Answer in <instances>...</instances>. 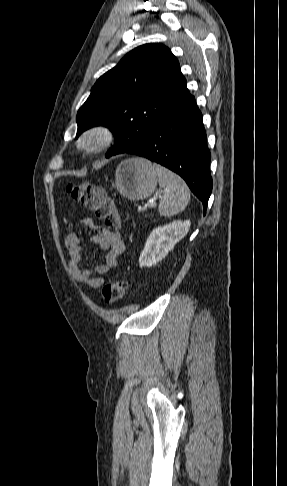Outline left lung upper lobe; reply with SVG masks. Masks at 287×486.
Listing matches in <instances>:
<instances>
[{"mask_svg":"<svg viewBox=\"0 0 287 486\" xmlns=\"http://www.w3.org/2000/svg\"><path fill=\"white\" fill-rule=\"evenodd\" d=\"M186 90L178 60L169 48L139 46L97 80L77 113V137L92 126L104 125L115 135L106 157L128 152L143 143Z\"/></svg>","mask_w":287,"mask_h":486,"instance_id":"left-lung-upper-lobe-1","label":"left lung upper lobe"}]
</instances>
